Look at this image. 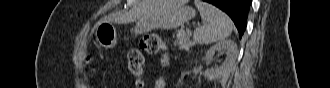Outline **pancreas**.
<instances>
[{"mask_svg": "<svg viewBox=\"0 0 330 88\" xmlns=\"http://www.w3.org/2000/svg\"><path fill=\"white\" fill-rule=\"evenodd\" d=\"M174 44L178 46L180 50L188 51L189 48L193 45L192 41L190 40V33L184 30H179L176 34Z\"/></svg>", "mask_w": 330, "mask_h": 88, "instance_id": "cf45deb5", "label": "pancreas"}]
</instances>
